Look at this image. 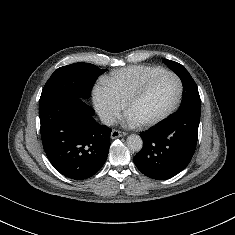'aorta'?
<instances>
[{
    "label": "aorta",
    "mask_w": 235,
    "mask_h": 235,
    "mask_svg": "<svg viewBox=\"0 0 235 235\" xmlns=\"http://www.w3.org/2000/svg\"><path fill=\"white\" fill-rule=\"evenodd\" d=\"M127 146L132 151H140L143 147V140L139 135L131 134L126 140Z\"/></svg>",
    "instance_id": "aorta-1"
}]
</instances>
